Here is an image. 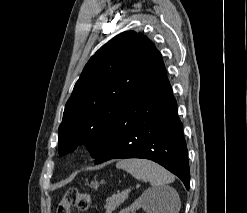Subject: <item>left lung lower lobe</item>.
<instances>
[{"instance_id":"1","label":"left lung lower lobe","mask_w":247,"mask_h":213,"mask_svg":"<svg viewBox=\"0 0 247 213\" xmlns=\"http://www.w3.org/2000/svg\"><path fill=\"white\" fill-rule=\"evenodd\" d=\"M124 158L155 161L177 175L189 189L183 125L163 62L147 71L136 95L126 102L95 163Z\"/></svg>"}]
</instances>
